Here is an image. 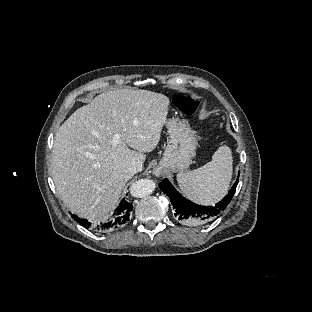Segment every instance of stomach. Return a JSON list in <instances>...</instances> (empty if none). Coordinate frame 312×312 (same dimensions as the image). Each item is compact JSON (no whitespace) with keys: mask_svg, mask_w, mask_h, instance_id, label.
<instances>
[{"mask_svg":"<svg viewBox=\"0 0 312 312\" xmlns=\"http://www.w3.org/2000/svg\"><path fill=\"white\" fill-rule=\"evenodd\" d=\"M165 125L169 132V140L160 168L168 172H185L195 155L197 138L195 131L185 119L173 117L167 119Z\"/></svg>","mask_w":312,"mask_h":312,"instance_id":"0dacf381","label":"stomach"}]
</instances>
